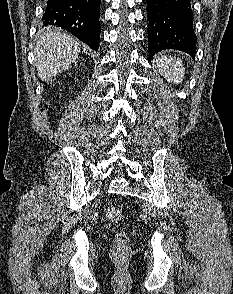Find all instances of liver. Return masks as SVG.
Listing matches in <instances>:
<instances>
[{"label":"liver","instance_id":"6515ba94","mask_svg":"<svg viewBox=\"0 0 233 294\" xmlns=\"http://www.w3.org/2000/svg\"><path fill=\"white\" fill-rule=\"evenodd\" d=\"M80 53L78 41L59 30H48L39 36L34 61L42 81L67 70Z\"/></svg>","mask_w":233,"mask_h":294}]
</instances>
